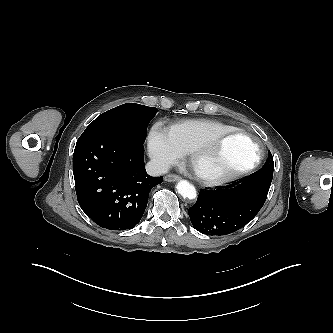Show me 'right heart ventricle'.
I'll return each mask as SVG.
<instances>
[{"label": "right heart ventricle", "mask_w": 333, "mask_h": 333, "mask_svg": "<svg viewBox=\"0 0 333 333\" xmlns=\"http://www.w3.org/2000/svg\"><path fill=\"white\" fill-rule=\"evenodd\" d=\"M231 129L233 127L212 119H187L170 127L172 134L185 152H190L213 136Z\"/></svg>", "instance_id": "right-heart-ventricle-1"}]
</instances>
